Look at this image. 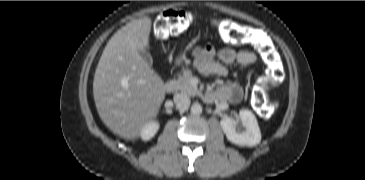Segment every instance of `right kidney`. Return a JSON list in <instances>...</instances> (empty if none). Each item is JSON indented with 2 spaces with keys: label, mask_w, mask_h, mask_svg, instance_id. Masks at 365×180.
Listing matches in <instances>:
<instances>
[{
  "label": "right kidney",
  "mask_w": 365,
  "mask_h": 180,
  "mask_svg": "<svg viewBox=\"0 0 365 180\" xmlns=\"http://www.w3.org/2000/svg\"><path fill=\"white\" fill-rule=\"evenodd\" d=\"M159 123L151 121L147 123L141 130L140 136L143 140H150L158 131Z\"/></svg>",
  "instance_id": "right-kidney-1"
}]
</instances>
